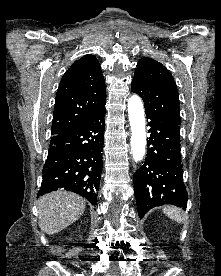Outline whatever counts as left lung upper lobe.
I'll use <instances>...</instances> for the list:
<instances>
[{
	"mask_svg": "<svg viewBox=\"0 0 221 276\" xmlns=\"http://www.w3.org/2000/svg\"><path fill=\"white\" fill-rule=\"evenodd\" d=\"M131 89L143 99L148 116L180 125L177 86L170 72L161 63L148 57L140 59Z\"/></svg>",
	"mask_w": 221,
	"mask_h": 276,
	"instance_id": "left-lung-upper-lobe-1",
	"label": "left lung upper lobe"
}]
</instances>
